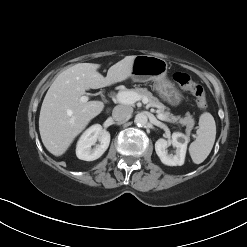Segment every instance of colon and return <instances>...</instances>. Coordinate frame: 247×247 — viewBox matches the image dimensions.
Segmentation results:
<instances>
[{"mask_svg":"<svg viewBox=\"0 0 247 247\" xmlns=\"http://www.w3.org/2000/svg\"><path fill=\"white\" fill-rule=\"evenodd\" d=\"M173 78L180 88L191 92L195 96L198 108L201 110H205L207 108L206 95L201 85L194 82L191 77L184 72H176L173 75Z\"/></svg>","mask_w":247,"mask_h":247,"instance_id":"obj_1","label":"colon"}]
</instances>
